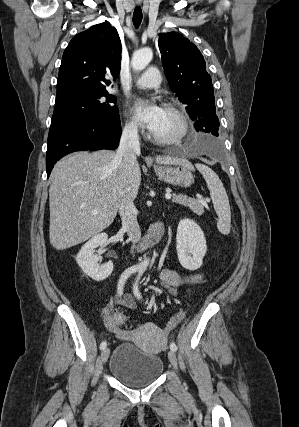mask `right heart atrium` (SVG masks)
<instances>
[{
	"instance_id": "1",
	"label": "right heart atrium",
	"mask_w": 299,
	"mask_h": 427,
	"mask_svg": "<svg viewBox=\"0 0 299 427\" xmlns=\"http://www.w3.org/2000/svg\"><path fill=\"white\" fill-rule=\"evenodd\" d=\"M123 132L127 136L134 138V137L138 136L139 129H138L137 124L134 121L128 120L124 125Z\"/></svg>"
}]
</instances>
